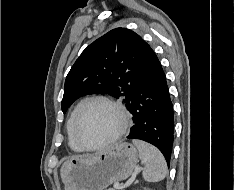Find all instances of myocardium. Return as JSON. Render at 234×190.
<instances>
[{
    "mask_svg": "<svg viewBox=\"0 0 234 190\" xmlns=\"http://www.w3.org/2000/svg\"><path fill=\"white\" fill-rule=\"evenodd\" d=\"M95 103H103V104L110 106L112 109H114L119 117L120 125H119L118 130L115 132V134L111 138H109L108 140H106L98 145L88 146V145L84 144L79 139L78 128H79L81 119H82L85 111L92 104H95ZM128 125H129V118H128L127 112L120 102H118L110 97H107V96H94V97H91V98L87 99L86 101H84V103L80 107L79 111L77 112V115H76V118H75V121L73 124L72 136H73L74 141L79 145V147L82 150L95 151V150L103 149V148L111 145L112 143L116 142L126 132Z\"/></svg>",
    "mask_w": 234,
    "mask_h": 190,
    "instance_id": "obj_1",
    "label": "myocardium"
}]
</instances>
